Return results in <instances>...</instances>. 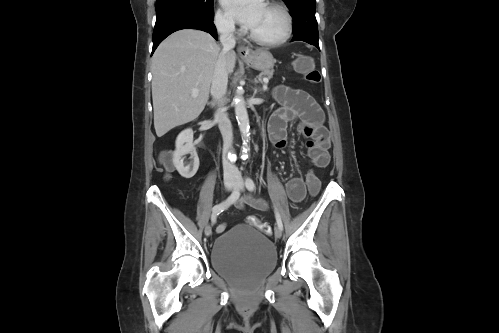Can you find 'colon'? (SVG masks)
<instances>
[{"label": "colon", "instance_id": "obj_1", "mask_svg": "<svg viewBox=\"0 0 499 333\" xmlns=\"http://www.w3.org/2000/svg\"><path fill=\"white\" fill-rule=\"evenodd\" d=\"M294 68L297 72L303 74L307 81L312 84H318L321 81L320 72L315 68L313 60L310 57H301L297 59L294 63ZM161 163L164 166L167 174H170L173 170L172 156L169 152L162 155ZM305 185L308 189L310 195H317L321 182L313 170H309L305 176ZM248 222L254 227L259 229L261 232L269 235L271 234V228L269 225L263 223L255 216H249L247 218Z\"/></svg>", "mask_w": 499, "mask_h": 333}]
</instances>
